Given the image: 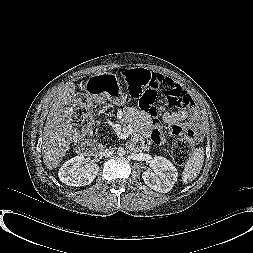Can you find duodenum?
I'll list each match as a JSON object with an SVG mask.
<instances>
[{"label": "duodenum", "mask_w": 253, "mask_h": 253, "mask_svg": "<svg viewBox=\"0 0 253 253\" xmlns=\"http://www.w3.org/2000/svg\"><path fill=\"white\" fill-rule=\"evenodd\" d=\"M79 151L82 154L89 156H94L100 153L99 147L89 140L81 142V144L79 145Z\"/></svg>", "instance_id": "410a0bca"}]
</instances>
